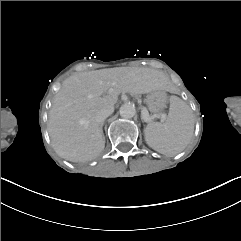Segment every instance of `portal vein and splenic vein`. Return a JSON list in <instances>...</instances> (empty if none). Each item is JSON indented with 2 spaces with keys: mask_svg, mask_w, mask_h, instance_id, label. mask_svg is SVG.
Instances as JSON below:
<instances>
[{
  "mask_svg": "<svg viewBox=\"0 0 241 241\" xmlns=\"http://www.w3.org/2000/svg\"><path fill=\"white\" fill-rule=\"evenodd\" d=\"M143 114H148V108H143ZM156 118H164V113H154V114H151V118L150 119L149 118H143V123L153 124V119H156Z\"/></svg>",
  "mask_w": 241,
  "mask_h": 241,
  "instance_id": "1",
  "label": "portal vein and splenic vein"
}]
</instances>
